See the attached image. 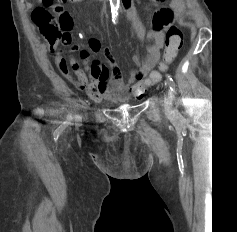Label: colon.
Instances as JSON below:
<instances>
[{
	"label": "colon",
	"instance_id": "1",
	"mask_svg": "<svg viewBox=\"0 0 237 232\" xmlns=\"http://www.w3.org/2000/svg\"><path fill=\"white\" fill-rule=\"evenodd\" d=\"M63 2L67 0H42L43 6L37 7L32 12V20L49 44L51 52H54L60 43L67 44L71 40L70 30L73 27V20L69 13L59 5ZM48 7H52L54 12H51ZM182 44L181 30L176 26H171L165 38L163 62L160 64L161 71H164L174 61ZM160 79L161 73L153 71L148 78V84H156Z\"/></svg>",
	"mask_w": 237,
	"mask_h": 232
}]
</instances>
